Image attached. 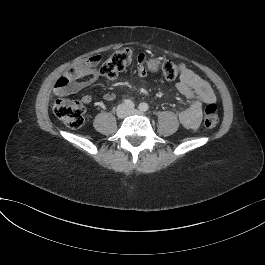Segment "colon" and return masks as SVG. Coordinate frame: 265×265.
I'll return each mask as SVG.
<instances>
[{
  "label": "colon",
  "mask_w": 265,
  "mask_h": 265,
  "mask_svg": "<svg viewBox=\"0 0 265 265\" xmlns=\"http://www.w3.org/2000/svg\"><path fill=\"white\" fill-rule=\"evenodd\" d=\"M101 61L100 56H92L81 62H78L74 67L61 77L56 89L58 95L54 103V114L58 119L63 121L71 128H79L85 121V107L78 101L70 100L66 96V91L70 84L76 80L79 75ZM132 61V52L129 49H120L112 53L105 59L100 66V73L108 78H115L118 73L125 70ZM187 68L181 64L165 62L162 66V74L167 80H174L181 76ZM204 126L208 129H213L218 124L217 106L214 102H209L204 108Z\"/></svg>",
  "instance_id": "colon-1"
}]
</instances>
